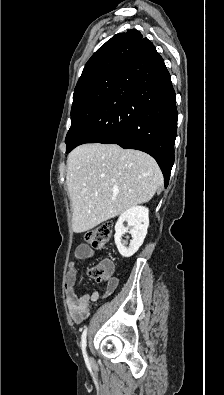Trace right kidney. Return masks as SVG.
<instances>
[{"mask_svg":"<svg viewBox=\"0 0 224 395\" xmlns=\"http://www.w3.org/2000/svg\"><path fill=\"white\" fill-rule=\"evenodd\" d=\"M124 222H127V227L124 226ZM148 226L149 210L144 206H134L121 213L115 225L114 240L123 257H131L138 251L146 237ZM125 233H130L132 237L128 247L122 240Z\"/></svg>","mask_w":224,"mask_h":395,"instance_id":"ca27d5eb","label":"right kidney"}]
</instances>
